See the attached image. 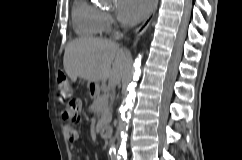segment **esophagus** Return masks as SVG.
Wrapping results in <instances>:
<instances>
[{
  "mask_svg": "<svg viewBox=\"0 0 242 160\" xmlns=\"http://www.w3.org/2000/svg\"><path fill=\"white\" fill-rule=\"evenodd\" d=\"M157 5H158V0H152V7H151V10H150V13L146 17L144 22L136 29V31L134 33L135 39L140 37L147 30L148 26L150 25L151 21L154 18V15H155V12H156V9H157Z\"/></svg>",
  "mask_w": 242,
  "mask_h": 160,
  "instance_id": "esophagus-1",
  "label": "esophagus"
}]
</instances>
